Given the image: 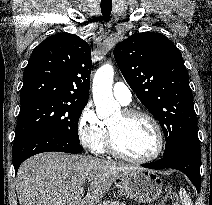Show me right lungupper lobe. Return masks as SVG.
Instances as JSON below:
<instances>
[{
	"mask_svg": "<svg viewBox=\"0 0 212 205\" xmlns=\"http://www.w3.org/2000/svg\"><path fill=\"white\" fill-rule=\"evenodd\" d=\"M90 53V46L77 35L49 36L33 50L24 69L20 101L53 98L87 103Z\"/></svg>",
	"mask_w": 212,
	"mask_h": 205,
	"instance_id": "right-lung-upper-lobe-1",
	"label": "right lung upper lobe"
}]
</instances>
